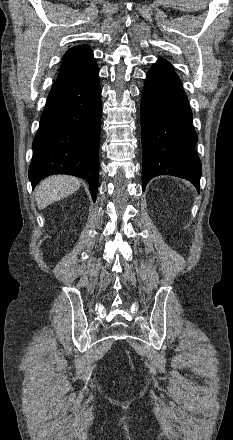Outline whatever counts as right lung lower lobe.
I'll use <instances>...</instances> for the list:
<instances>
[{
	"label": "right lung lower lobe",
	"instance_id": "obj_1",
	"mask_svg": "<svg viewBox=\"0 0 233 440\" xmlns=\"http://www.w3.org/2000/svg\"><path fill=\"white\" fill-rule=\"evenodd\" d=\"M101 88L98 66L57 80L34 138L29 179L69 174L84 178L95 201L98 190Z\"/></svg>",
	"mask_w": 233,
	"mask_h": 440
}]
</instances>
